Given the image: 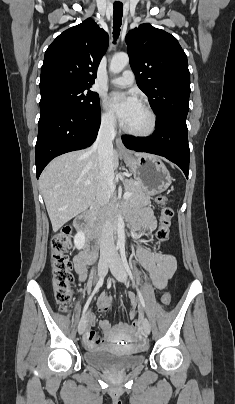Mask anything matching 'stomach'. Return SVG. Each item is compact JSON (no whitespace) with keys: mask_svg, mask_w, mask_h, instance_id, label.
I'll return each mask as SVG.
<instances>
[{"mask_svg":"<svg viewBox=\"0 0 235 404\" xmlns=\"http://www.w3.org/2000/svg\"><path fill=\"white\" fill-rule=\"evenodd\" d=\"M124 162L133 172L136 181L141 182L150 195L164 192L172 182L167 167L155 155H129L124 157Z\"/></svg>","mask_w":235,"mask_h":404,"instance_id":"stomach-1","label":"stomach"}]
</instances>
